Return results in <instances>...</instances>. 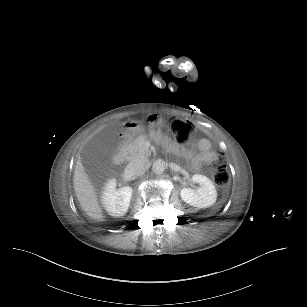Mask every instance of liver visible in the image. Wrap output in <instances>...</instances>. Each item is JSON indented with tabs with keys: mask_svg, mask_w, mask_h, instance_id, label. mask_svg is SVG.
Masks as SVG:
<instances>
[{
	"mask_svg": "<svg viewBox=\"0 0 307 307\" xmlns=\"http://www.w3.org/2000/svg\"><path fill=\"white\" fill-rule=\"evenodd\" d=\"M73 183L82 210L92 219L98 222L104 221V215L99 205L97 193L84 170L81 159H78L76 162Z\"/></svg>",
	"mask_w": 307,
	"mask_h": 307,
	"instance_id": "liver-1",
	"label": "liver"
}]
</instances>
